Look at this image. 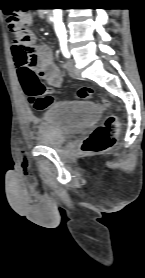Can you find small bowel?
<instances>
[{
    "mask_svg": "<svg viewBox=\"0 0 145 278\" xmlns=\"http://www.w3.org/2000/svg\"><path fill=\"white\" fill-rule=\"evenodd\" d=\"M11 53L20 85L22 77L26 73L34 71L41 74L50 86L59 87L61 85L62 74L59 67L53 62L52 51L49 47L42 45L35 53L25 52L14 40L11 45ZM30 121L37 122V119L31 117Z\"/></svg>",
    "mask_w": 145,
    "mask_h": 278,
    "instance_id": "1",
    "label": "small bowel"
}]
</instances>
